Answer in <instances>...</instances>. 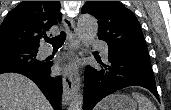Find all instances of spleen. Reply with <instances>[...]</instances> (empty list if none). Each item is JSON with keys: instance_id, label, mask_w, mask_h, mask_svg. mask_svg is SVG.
<instances>
[{"instance_id": "obj_1", "label": "spleen", "mask_w": 171, "mask_h": 110, "mask_svg": "<svg viewBox=\"0 0 171 110\" xmlns=\"http://www.w3.org/2000/svg\"><path fill=\"white\" fill-rule=\"evenodd\" d=\"M132 96H133V98L136 99V101L138 103V110H156V106L151 102L150 99H148L143 94L133 92ZM105 105H107V102H101L97 106V110L105 109L104 108Z\"/></svg>"}]
</instances>
